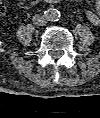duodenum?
Listing matches in <instances>:
<instances>
[{"mask_svg": "<svg viewBox=\"0 0 100 118\" xmlns=\"http://www.w3.org/2000/svg\"><path fill=\"white\" fill-rule=\"evenodd\" d=\"M60 0H56L54 3H57V2H59Z\"/></svg>", "mask_w": 100, "mask_h": 118, "instance_id": "obj_1", "label": "duodenum"}]
</instances>
